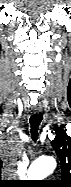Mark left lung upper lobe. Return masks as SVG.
<instances>
[{
    "mask_svg": "<svg viewBox=\"0 0 71 187\" xmlns=\"http://www.w3.org/2000/svg\"><path fill=\"white\" fill-rule=\"evenodd\" d=\"M56 136L51 142L55 149L62 168V180L58 181L62 186L71 184V137L62 128H56Z\"/></svg>",
    "mask_w": 71,
    "mask_h": 187,
    "instance_id": "5c2ea615",
    "label": "left lung upper lobe"
}]
</instances>
